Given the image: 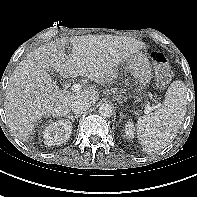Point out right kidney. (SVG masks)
Instances as JSON below:
<instances>
[{
	"mask_svg": "<svg viewBox=\"0 0 197 197\" xmlns=\"http://www.w3.org/2000/svg\"><path fill=\"white\" fill-rule=\"evenodd\" d=\"M72 125L68 120H59L50 123L43 132L44 144L48 146L61 145L71 136Z\"/></svg>",
	"mask_w": 197,
	"mask_h": 197,
	"instance_id": "right-kidney-1",
	"label": "right kidney"
}]
</instances>
